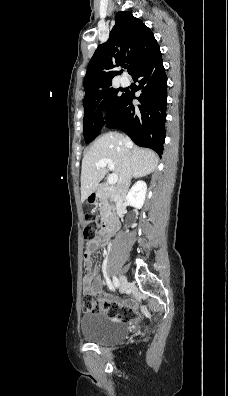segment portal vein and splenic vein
<instances>
[{
    "label": "portal vein and splenic vein",
    "mask_w": 228,
    "mask_h": 396,
    "mask_svg": "<svg viewBox=\"0 0 228 396\" xmlns=\"http://www.w3.org/2000/svg\"><path fill=\"white\" fill-rule=\"evenodd\" d=\"M107 165L110 170H113L114 164L111 159H102L96 163V166L98 168H103V167H106ZM107 181L109 184L114 185L117 183L118 177L116 174H110Z\"/></svg>",
    "instance_id": "18ae733b"
}]
</instances>
